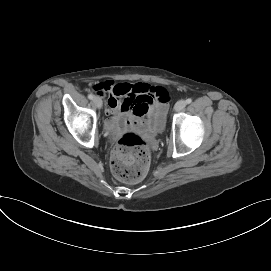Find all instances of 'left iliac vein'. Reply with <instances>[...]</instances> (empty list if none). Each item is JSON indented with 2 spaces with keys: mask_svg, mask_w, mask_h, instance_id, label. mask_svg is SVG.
Here are the masks:
<instances>
[{
  "mask_svg": "<svg viewBox=\"0 0 271 271\" xmlns=\"http://www.w3.org/2000/svg\"><path fill=\"white\" fill-rule=\"evenodd\" d=\"M186 101L185 100H179L176 104H175V106H174V110L175 111H181V110H183L184 108H185V106H186Z\"/></svg>",
  "mask_w": 271,
  "mask_h": 271,
  "instance_id": "4c4485c4",
  "label": "left iliac vein"
}]
</instances>
